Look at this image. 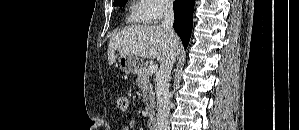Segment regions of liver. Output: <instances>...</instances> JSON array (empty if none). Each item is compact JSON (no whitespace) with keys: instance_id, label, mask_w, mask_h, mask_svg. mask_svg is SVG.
<instances>
[{"instance_id":"obj_1","label":"liver","mask_w":299,"mask_h":130,"mask_svg":"<svg viewBox=\"0 0 299 130\" xmlns=\"http://www.w3.org/2000/svg\"><path fill=\"white\" fill-rule=\"evenodd\" d=\"M169 32L160 25L129 26L113 34L108 46L109 65L116 60L115 52L119 55H133L136 57L164 61L172 49ZM179 48V39L176 38Z\"/></svg>"}]
</instances>
